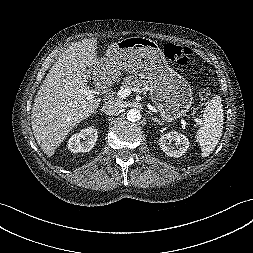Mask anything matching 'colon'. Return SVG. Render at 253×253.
Returning a JSON list of instances; mask_svg holds the SVG:
<instances>
[{
  "instance_id": "1",
  "label": "colon",
  "mask_w": 253,
  "mask_h": 253,
  "mask_svg": "<svg viewBox=\"0 0 253 253\" xmlns=\"http://www.w3.org/2000/svg\"><path fill=\"white\" fill-rule=\"evenodd\" d=\"M164 54L166 58L176 65H186L190 62L191 51L185 46L175 45L167 43L164 46ZM210 95V91L206 87H202L199 91V96L202 99H207Z\"/></svg>"
}]
</instances>
